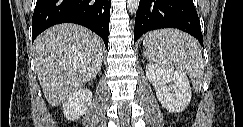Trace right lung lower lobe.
Here are the masks:
<instances>
[{
	"label": "right lung lower lobe",
	"mask_w": 243,
	"mask_h": 127,
	"mask_svg": "<svg viewBox=\"0 0 243 127\" xmlns=\"http://www.w3.org/2000/svg\"><path fill=\"white\" fill-rule=\"evenodd\" d=\"M111 0H37L32 17V42L47 28L59 23L83 25L108 48Z\"/></svg>",
	"instance_id": "98d812e1"
}]
</instances>
